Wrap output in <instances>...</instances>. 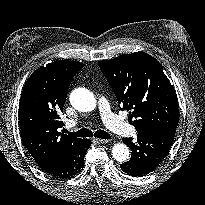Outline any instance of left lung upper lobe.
I'll return each mask as SVG.
<instances>
[{
	"mask_svg": "<svg viewBox=\"0 0 205 205\" xmlns=\"http://www.w3.org/2000/svg\"><path fill=\"white\" fill-rule=\"evenodd\" d=\"M98 65L113 89L122 110L138 134L176 130L178 99L161 64L144 52H135Z\"/></svg>",
	"mask_w": 205,
	"mask_h": 205,
	"instance_id": "left-lung-upper-lobe-1",
	"label": "left lung upper lobe"
}]
</instances>
